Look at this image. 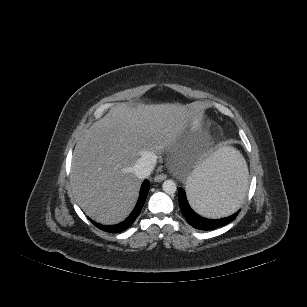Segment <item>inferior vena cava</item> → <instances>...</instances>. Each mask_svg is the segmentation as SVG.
<instances>
[{
  "label": "inferior vena cava",
  "mask_w": 307,
  "mask_h": 307,
  "mask_svg": "<svg viewBox=\"0 0 307 307\" xmlns=\"http://www.w3.org/2000/svg\"><path fill=\"white\" fill-rule=\"evenodd\" d=\"M156 161L157 157L153 153L139 158L133 166L134 174L140 179L148 177L153 171Z\"/></svg>",
  "instance_id": "inferior-vena-cava-1"
}]
</instances>
